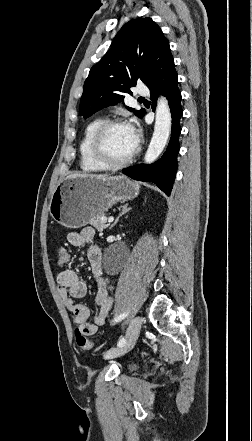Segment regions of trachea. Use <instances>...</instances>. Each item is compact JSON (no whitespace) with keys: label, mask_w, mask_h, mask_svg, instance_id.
Returning <instances> with one entry per match:
<instances>
[{"label":"trachea","mask_w":252,"mask_h":441,"mask_svg":"<svg viewBox=\"0 0 252 441\" xmlns=\"http://www.w3.org/2000/svg\"><path fill=\"white\" fill-rule=\"evenodd\" d=\"M138 100H144V98L140 97Z\"/></svg>","instance_id":"trachea-1"}]
</instances>
